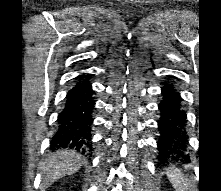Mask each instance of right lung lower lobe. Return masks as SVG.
Listing matches in <instances>:
<instances>
[{
    "label": "right lung lower lobe",
    "instance_id": "98d812e1",
    "mask_svg": "<svg viewBox=\"0 0 221 191\" xmlns=\"http://www.w3.org/2000/svg\"><path fill=\"white\" fill-rule=\"evenodd\" d=\"M75 86L68 92L64 108L58 116V128L50 147L70 148L87 153L92 150L91 127L95 101L88 75L77 77Z\"/></svg>",
    "mask_w": 221,
    "mask_h": 191
}]
</instances>
